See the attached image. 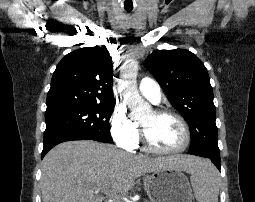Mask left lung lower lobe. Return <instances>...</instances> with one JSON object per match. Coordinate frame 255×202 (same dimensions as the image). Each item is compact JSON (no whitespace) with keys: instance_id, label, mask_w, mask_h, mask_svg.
<instances>
[{"instance_id":"1","label":"left lung lower lobe","mask_w":255,"mask_h":202,"mask_svg":"<svg viewBox=\"0 0 255 202\" xmlns=\"http://www.w3.org/2000/svg\"><path fill=\"white\" fill-rule=\"evenodd\" d=\"M206 158H209L213 164L218 168L220 169V155L219 156H215V155H209V156H206Z\"/></svg>"}]
</instances>
